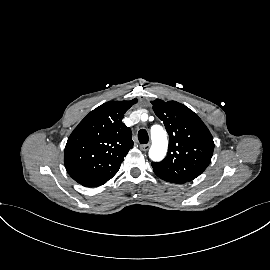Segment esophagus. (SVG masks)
Wrapping results in <instances>:
<instances>
[{"label":"esophagus","instance_id":"esophagus-1","mask_svg":"<svg viewBox=\"0 0 270 270\" xmlns=\"http://www.w3.org/2000/svg\"><path fill=\"white\" fill-rule=\"evenodd\" d=\"M149 147H150V144H142V145H140V149L142 151H147L149 149Z\"/></svg>","mask_w":270,"mask_h":270}]
</instances>
